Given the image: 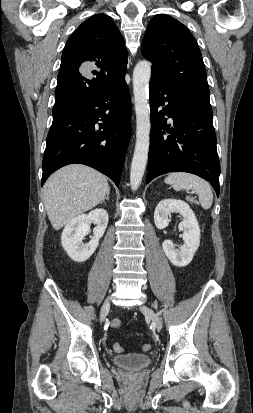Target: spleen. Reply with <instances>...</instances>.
<instances>
[{
  "instance_id": "obj_1",
  "label": "spleen",
  "mask_w": 253,
  "mask_h": 413,
  "mask_svg": "<svg viewBox=\"0 0 253 413\" xmlns=\"http://www.w3.org/2000/svg\"><path fill=\"white\" fill-rule=\"evenodd\" d=\"M165 183L176 191L192 190L199 196V202L204 209L212 206L213 193L210 184L194 174L173 172L165 178Z\"/></svg>"
}]
</instances>
